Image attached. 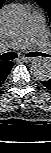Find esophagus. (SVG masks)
<instances>
[{"mask_svg":"<svg viewBox=\"0 0 51 153\" xmlns=\"http://www.w3.org/2000/svg\"><path fill=\"white\" fill-rule=\"evenodd\" d=\"M20 60L23 61V62L29 63V62H31L33 60V58H30V57H22Z\"/></svg>","mask_w":51,"mask_h":153,"instance_id":"34e87169","label":"esophagus"}]
</instances>
